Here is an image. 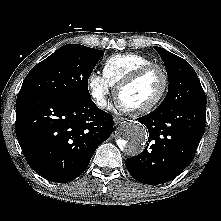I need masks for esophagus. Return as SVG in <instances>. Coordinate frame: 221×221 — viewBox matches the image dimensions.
Segmentation results:
<instances>
[{
	"label": "esophagus",
	"instance_id": "1",
	"mask_svg": "<svg viewBox=\"0 0 221 221\" xmlns=\"http://www.w3.org/2000/svg\"><path fill=\"white\" fill-rule=\"evenodd\" d=\"M124 120L123 117H119V116H115L114 117V124L118 125L119 123H121Z\"/></svg>",
	"mask_w": 221,
	"mask_h": 221
}]
</instances>
